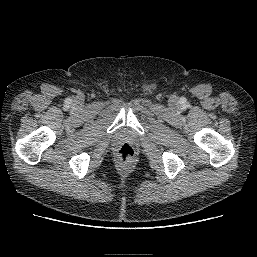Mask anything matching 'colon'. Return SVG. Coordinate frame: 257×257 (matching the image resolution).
<instances>
[{
    "instance_id": "colon-1",
    "label": "colon",
    "mask_w": 257,
    "mask_h": 257,
    "mask_svg": "<svg viewBox=\"0 0 257 257\" xmlns=\"http://www.w3.org/2000/svg\"><path fill=\"white\" fill-rule=\"evenodd\" d=\"M135 151L130 144H123L118 149V159L123 166H128L134 158Z\"/></svg>"
}]
</instances>
